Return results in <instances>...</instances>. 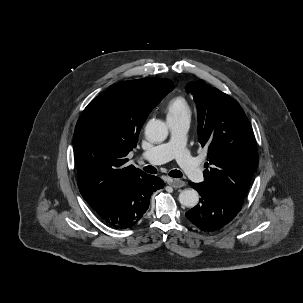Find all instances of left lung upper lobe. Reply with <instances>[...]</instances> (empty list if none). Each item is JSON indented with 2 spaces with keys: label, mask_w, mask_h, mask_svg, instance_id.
I'll return each instance as SVG.
<instances>
[{
  "label": "left lung upper lobe",
  "mask_w": 303,
  "mask_h": 303,
  "mask_svg": "<svg viewBox=\"0 0 303 303\" xmlns=\"http://www.w3.org/2000/svg\"><path fill=\"white\" fill-rule=\"evenodd\" d=\"M198 109V141L208 147L205 183L243 202L258 163L251 125L241 106L203 80L187 85Z\"/></svg>",
  "instance_id": "5c2ea615"
}]
</instances>
